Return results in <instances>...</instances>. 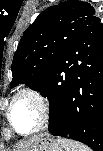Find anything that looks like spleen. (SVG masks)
Here are the masks:
<instances>
[{
    "label": "spleen",
    "mask_w": 103,
    "mask_h": 151,
    "mask_svg": "<svg viewBox=\"0 0 103 151\" xmlns=\"http://www.w3.org/2000/svg\"><path fill=\"white\" fill-rule=\"evenodd\" d=\"M58 140L65 151H92L88 146L68 138H59Z\"/></svg>",
    "instance_id": "1"
}]
</instances>
